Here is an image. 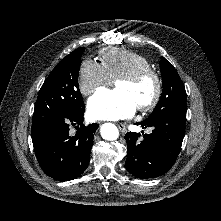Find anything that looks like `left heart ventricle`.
<instances>
[{"instance_id":"obj_1","label":"left heart ventricle","mask_w":221,"mask_h":221,"mask_svg":"<svg viewBox=\"0 0 221 221\" xmlns=\"http://www.w3.org/2000/svg\"><path fill=\"white\" fill-rule=\"evenodd\" d=\"M116 86L117 89L128 93L137 107L147 103L155 92V84L151 78H146L138 83L120 81Z\"/></svg>"}]
</instances>
